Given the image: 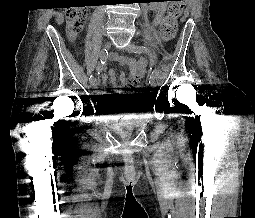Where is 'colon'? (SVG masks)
<instances>
[{"mask_svg":"<svg viewBox=\"0 0 255 218\" xmlns=\"http://www.w3.org/2000/svg\"><path fill=\"white\" fill-rule=\"evenodd\" d=\"M169 1L167 15L163 18L160 25V36L164 41H170L176 35L178 18L181 16L185 6V0ZM66 19L68 35L72 38H76L82 33L88 20L86 7H71L67 9ZM141 91H143V88L139 90V92Z\"/></svg>","mask_w":255,"mask_h":218,"instance_id":"obj_1","label":"colon"}]
</instances>
